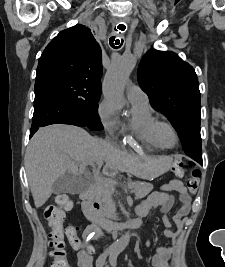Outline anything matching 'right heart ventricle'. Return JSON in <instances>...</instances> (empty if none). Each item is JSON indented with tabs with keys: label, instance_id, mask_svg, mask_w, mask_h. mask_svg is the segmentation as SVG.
Masks as SVG:
<instances>
[{
	"label": "right heart ventricle",
	"instance_id": "e07e8e85",
	"mask_svg": "<svg viewBox=\"0 0 225 267\" xmlns=\"http://www.w3.org/2000/svg\"><path fill=\"white\" fill-rule=\"evenodd\" d=\"M130 103L131 108L126 115L125 127L146 144L155 148H162L154 130L157 117L148 100H130Z\"/></svg>",
	"mask_w": 225,
	"mask_h": 267
}]
</instances>
